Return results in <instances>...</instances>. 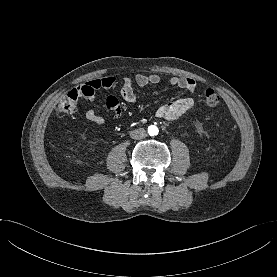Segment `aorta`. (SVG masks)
Masks as SVG:
<instances>
[{
    "mask_svg": "<svg viewBox=\"0 0 277 277\" xmlns=\"http://www.w3.org/2000/svg\"><path fill=\"white\" fill-rule=\"evenodd\" d=\"M148 133L151 135V136H154V135H157L158 134V128L156 126H149L148 128Z\"/></svg>",
    "mask_w": 277,
    "mask_h": 277,
    "instance_id": "obj_1",
    "label": "aorta"
}]
</instances>
